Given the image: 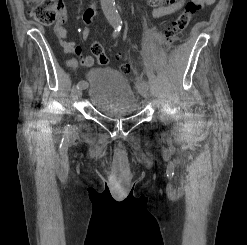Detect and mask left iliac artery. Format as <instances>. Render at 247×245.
<instances>
[{
    "mask_svg": "<svg viewBox=\"0 0 247 245\" xmlns=\"http://www.w3.org/2000/svg\"><path fill=\"white\" fill-rule=\"evenodd\" d=\"M140 84H143V85H147V83L145 81H140Z\"/></svg>",
    "mask_w": 247,
    "mask_h": 245,
    "instance_id": "obj_1",
    "label": "left iliac artery"
}]
</instances>
